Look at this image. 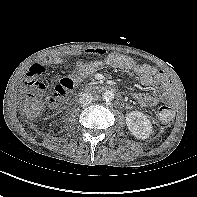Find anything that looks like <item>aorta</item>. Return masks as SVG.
<instances>
[{"mask_svg":"<svg viewBox=\"0 0 197 197\" xmlns=\"http://www.w3.org/2000/svg\"><path fill=\"white\" fill-rule=\"evenodd\" d=\"M103 99L106 100V101H112L114 99V92L111 91V90H106L104 93H103Z\"/></svg>","mask_w":197,"mask_h":197,"instance_id":"762f6f07","label":"aorta"}]
</instances>
